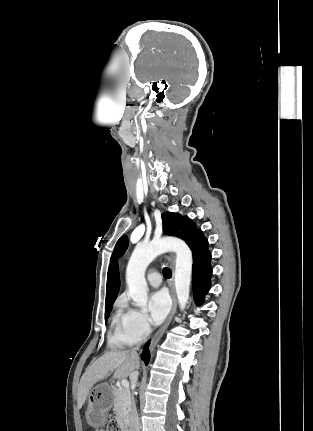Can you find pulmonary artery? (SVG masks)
Wrapping results in <instances>:
<instances>
[{
    "mask_svg": "<svg viewBox=\"0 0 313 431\" xmlns=\"http://www.w3.org/2000/svg\"><path fill=\"white\" fill-rule=\"evenodd\" d=\"M148 283L153 287H159L161 284V275L157 271H150L147 275Z\"/></svg>",
    "mask_w": 313,
    "mask_h": 431,
    "instance_id": "obj_1",
    "label": "pulmonary artery"
}]
</instances>
